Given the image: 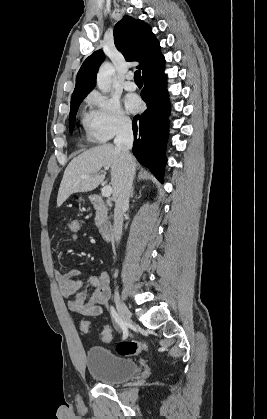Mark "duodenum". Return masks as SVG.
<instances>
[{"mask_svg":"<svg viewBox=\"0 0 267 419\" xmlns=\"http://www.w3.org/2000/svg\"><path fill=\"white\" fill-rule=\"evenodd\" d=\"M90 202L94 208L98 209L105 215L107 214L108 206L102 197L98 195H92L90 197ZM112 233H113V223L111 220L106 218L100 226V235L105 241H108L111 238Z\"/></svg>","mask_w":267,"mask_h":419,"instance_id":"1","label":"duodenum"}]
</instances>
